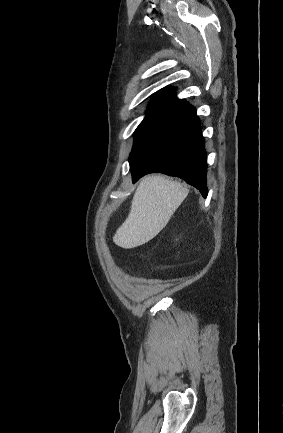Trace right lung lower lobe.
Returning <instances> with one entry per match:
<instances>
[{
    "mask_svg": "<svg viewBox=\"0 0 283 433\" xmlns=\"http://www.w3.org/2000/svg\"><path fill=\"white\" fill-rule=\"evenodd\" d=\"M206 151L196 110L187 102L151 121L129 156L133 183L154 172L184 179L207 197Z\"/></svg>",
    "mask_w": 283,
    "mask_h": 433,
    "instance_id": "98d812e1",
    "label": "right lung lower lobe"
}]
</instances>
